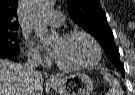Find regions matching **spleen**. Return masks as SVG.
Returning <instances> with one entry per match:
<instances>
[{
    "label": "spleen",
    "mask_w": 135,
    "mask_h": 95,
    "mask_svg": "<svg viewBox=\"0 0 135 95\" xmlns=\"http://www.w3.org/2000/svg\"><path fill=\"white\" fill-rule=\"evenodd\" d=\"M106 82L109 84L110 89L106 95H124V91L122 90L118 80L114 78L111 74L107 72H102Z\"/></svg>",
    "instance_id": "1"
}]
</instances>
